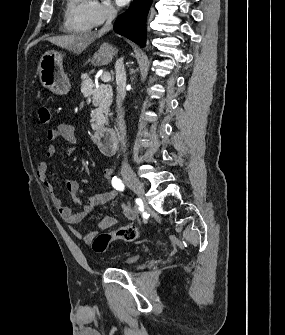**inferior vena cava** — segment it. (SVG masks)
Instances as JSON below:
<instances>
[{
  "mask_svg": "<svg viewBox=\"0 0 285 335\" xmlns=\"http://www.w3.org/2000/svg\"><path fill=\"white\" fill-rule=\"evenodd\" d=\"M117 16V10L110 6V4H106V24H104L103 28H101L99 34L103 36L105 32H109L112 30V22L114 18ZM116 68V84H117V126H118V138L119 142H121L123 146V150H126V126L124 120V108H122V104L125 100L126 96V74L124 72L123 66V58L117 60L115 64Z\"/></svg>",
  "mask_w": 285,
  "mask_h": 335,
  "instance_id": "obj_1",
  "label": "inferior vena cava"
}]
</instances>
